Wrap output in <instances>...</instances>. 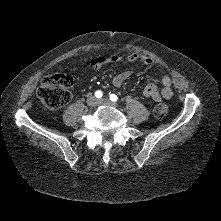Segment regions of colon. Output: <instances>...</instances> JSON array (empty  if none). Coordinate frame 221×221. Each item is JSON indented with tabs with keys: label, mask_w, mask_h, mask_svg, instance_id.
Instances as JSON below:
<instances>
[{
	"label": "colon",
	"mask_w": 221,
	"mask_h": 221,
	"mask_svg": "<svg viewBox=\"0 0 221 221\" xmlns=\"http://www.w3.org/2000/svg\"><path fill=\"white\" fill-rule=\"evenodd\" d=\"M73 85L71 74H54L42 79L37 90V95L43 105L50 110H57L71 100L70 87ZM154 115L158 118L164 117L168 112L165 103H159L154 107Z\"/></svg>",
	"instance_id": "5ec220e1"
}]
</instances>
